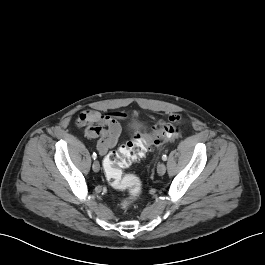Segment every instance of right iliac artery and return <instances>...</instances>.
Returning <instances> with one entry per match:
<instances>
[{
  "mask_svg": "<svg viewBox=\"0 0 265 265\" xmlns=\"http://www.w3.org/2000/svg\"><path fill=\"white\" fill-rule=\"evenodd\" d=\"M92 158H93L94 160L97 158L96 153H93V154H92Z\"/></svg>",
  "mask_w": 265,
  "mask_h": 265,
  "instance_id": "right-iliac-artery-1",
  "label": "right iliac artery"
}]
</instances>
